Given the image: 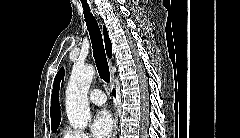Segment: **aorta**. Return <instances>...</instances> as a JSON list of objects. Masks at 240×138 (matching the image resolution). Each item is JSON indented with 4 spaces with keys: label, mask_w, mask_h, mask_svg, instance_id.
<instances>
[{
    "label": "aorta",
    "mask_w": 240,
    "mask_h": 138,
    "mask_svg": "<svg viewBox=\"0 0 240 138\" xmlns=\"http://www.w3.org/2000/svg\"><path fill=\"white\" fill-rule=\"evenodd\" d=\"M91 65H74L66 89V113L74 129L84 130L91 120L88 90L94 77Z\"/></svg>",
    "instance_id": "1"
}]
</instances>
